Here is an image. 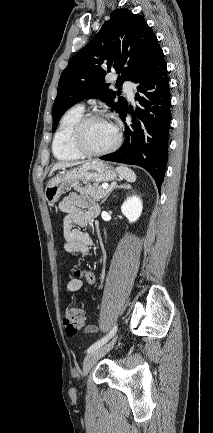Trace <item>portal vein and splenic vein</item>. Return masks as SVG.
Here are the masks:
<instances>
[{
    "label": "portal vein and splenic vein",
    "mask_w": 213,
    "mask_h": 433,
    "mask_svg": "<svg viewBox=\"0 0 213 433\" xmlns=\"http://www.w3.org/2000/svg\"><path fill=\"white\" fill-rule=\"evenodd\" d=\"M108 187H109L108 184H103V185H102V189H104V190H107Z\"/></svg>",
    "instance_id": "18ae733b"
}]
</instances>
